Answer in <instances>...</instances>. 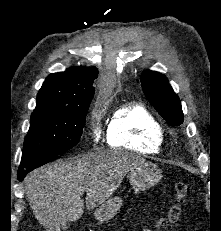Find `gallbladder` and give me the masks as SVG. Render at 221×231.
I'll return each mask as SVG.
<instances>
[{
    "mask_svg": "<svg viewBox=\"0 0 221 231\" xmlns=\"http://www.w3.org/2000/svg\"><path fill=\"white\" fill-rule=\"evenodd\" d=\"M61 228L65 231V230H66V228H67V226H66V225H64V226H62Z\"/></svg>",
    "mask_w": 221,
    "mask_h": 231,
    "instance_id": "obj_1",
    "label": "gallbladder"
}]
</instances>
